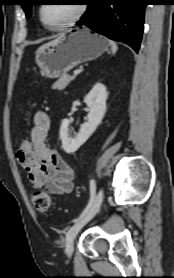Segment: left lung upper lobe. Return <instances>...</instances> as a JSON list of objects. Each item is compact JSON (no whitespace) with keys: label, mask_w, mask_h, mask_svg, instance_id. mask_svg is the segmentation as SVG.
<instances>
[{"label":"left lung upper lobe","mask_w":174,"mask_h":278,"mask_svg":"<svg viewBox=\"0 0 174 278\" xmlns=\"http://www.w3.org/2000/svg\"><path fill=\"white\" fill-rule=\"evenodd\" d=\"M35 2L36 0H22L21 6L23 7L27 18L31 16V7Z\"/></svg>","instance_id":"obj_1"}]
</instances>
